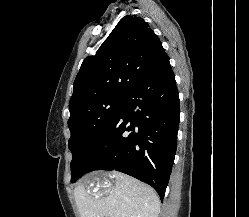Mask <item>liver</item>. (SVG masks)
Instances as JSON below:
<instances>
[{"label":"liver","instance_id":"liver-1","mask_svg":"<svg viewBox=\"0 0 249 217\" xmlns=\"http://www.w3.org/2000/svg\"><path fill=\"white\" fill-rule=\"evenodd\" d=\"M85 182L100 186L96 192L83 183L74 189L80 217H158L160 201L156 192L126 174L95 172Z\"/></svg>","mask_w":249,"mask_h":217}]
</instances>
